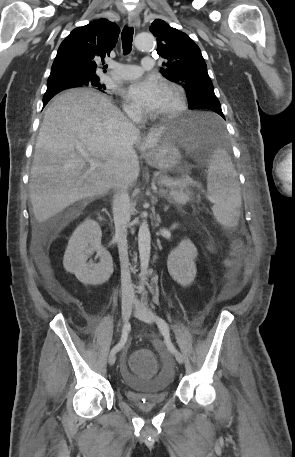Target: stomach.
I'll return each mask as SVG.
<instances>
[{
    "label": "stomach",
    "mask_w": 295,
    "mask_h": 457,
    "mask_svg": "<svg viewBox=\"0 0 295 457\" xmlns=\"http://www.w3.org/2000/svg\"><path fill=\"white\" fill-rule=\"evenodd\" d=\"M207 122L198 115L174 120L164 125L156 146L145 153L146 162L161 171L180 169V148L192 149L197 145L213 146Z\"/></svg>",
    "instance_id": "stomach-1"
}]
</instances>
